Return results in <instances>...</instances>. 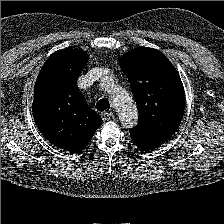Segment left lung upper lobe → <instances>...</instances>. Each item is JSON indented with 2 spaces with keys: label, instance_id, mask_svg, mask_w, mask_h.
Returning <instances> with one entry per match:
<instances>
[{
  "label": "left lung upper lobe",
  "instance_id": "1",
  "mask_svg": "<svg viewBox=\"0 0 224 224\" xmlns=\"http://www.w3.org/2000/svg\"><path fill=\"white\" fill-rule=\"evenodd\" d=\"M135 98L139 117L132 130L162 145L178 129L185 109L181 79L160 51L139 47L120 59Z\"/></svg>",
  "mask_w": 224,
  "mask_h": 224
}]
</instances>
